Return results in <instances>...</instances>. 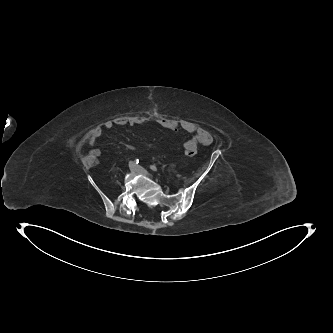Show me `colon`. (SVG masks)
<instances>
[{
	"instance_id": "5ec220e1",
	"label": "colon",
	"mask_w": 333,
	"mask_h": 333,
	"mask_svg": "<svg viewBox=\"0 0 333 333\" xmlns=\"http://www.w3.org/2000/svg\"><path fill=\"white\" fill-rule=\"evenodd\" d=\"M199 151L196 149V150H186L185 152H184V154H185V156H187V157H189V156H192V157H197V153H198ZM95 161H96V159H95V157L93 156V155H88V156H86L85 158H84V160H83V162H84V164L85 165H88V166H90V165H93L94 163H95Z\"/></svg>"
}]
</instances>
